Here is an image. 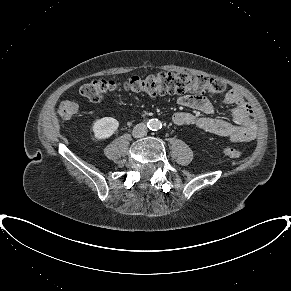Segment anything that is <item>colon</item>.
<instances>
[{"label":"colon","mask_w":291,"mask_h":291,"mask_svg":"<svg viewBox=\"0 0 291 291\" xmlns=\"http://www.w3.org/2000/svg\"><path fill=\"white\" fill-rule=\"evenodd\" d=\"M121 90L148 96L187 92H208L216 95L224 91V84L217 79L203 75L161 71L145 77L134 76L123 82L95 79L84 84L80 88V93L92 102H100L106 95ZM78 109L79 106L76 102L67 100L60 104L58 113L62 118L68 119L74 116ZM222 153L231 159H238L242 155L240 147L236 145L223 148Z\"/></svg>","instance_id":"5ec220e1"}]
</instances>
